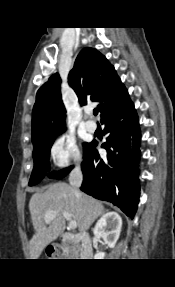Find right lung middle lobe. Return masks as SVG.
<instances>
[{
    "mask_svg": "<svg viewBox=\"0 0 175 287\" xmlns=\"http://www.w3.org/2000/svg\"><path fill=\"white\" fill-rule=\"evenodd\" d=\"M58 134L59 133L33 143L34 168H33V172H32V175L29 181L30 186L39 183L43 179V177L46 175V172L49 168L48 159L50 155V148L53 144L54 139L56 138ZM89 145L90 143L83 144L84 154L87 151ZM71 169L72 167H69L57 173L53 172L49 174L48 176L51 178H62L66 174H68Z\"/></svg>",
    "mask_w": 175,
    "mask_h": 287,
    "instance_id": "dd1d6c3e",
    "label": "right lung middle lobe"
}]
</instances>
